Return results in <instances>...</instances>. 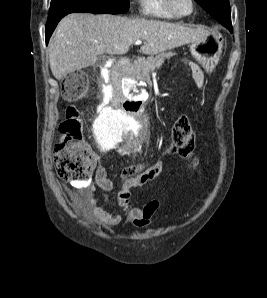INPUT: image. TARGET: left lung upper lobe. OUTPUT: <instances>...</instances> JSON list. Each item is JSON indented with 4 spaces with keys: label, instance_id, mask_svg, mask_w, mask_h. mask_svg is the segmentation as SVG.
Listing matches in <instances>:
<instances>
[{
    "label": "left lung upper lobe",
    "instance_id": "1",
    "mask_svg": "<svg viewBox=\"0 0 267 298\" xmlns=\"http://www.w3.org/2000/svg\"><path fill=\"white\" fill-rule=\"evenodd\" d=\"M206 12L219 22L230 20L229 0H195Z\"/></svg>",
    "mask_w": 267,
    "mask_h": 298
}]
</instances>
